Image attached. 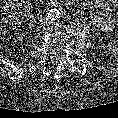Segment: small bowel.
Wrapping results in <instances>:
<instances>
[{"label": "small bowel", "mask_w": 118, "mask_h": 118, "mask_svg": "<svg viewBox=\"0 0 118 118\" xmlns=\"http://www.w3.org/2000/svg\"><path fill=\"white\" fill-rule=\"evenodd\" d=\"M90 6L100 8L102 10L100 15L90 16L91 22L103 31L111 30L114 25V20L109 16L111 12L110 6L114 9H118V0H93ZM117 44L118 34L116 39L111 42L112 46H117Z\"/></svg>", "instance_id": "obj_1"}]
</instances>
